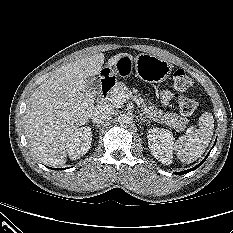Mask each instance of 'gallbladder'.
<instances>
[{"instance_id": "1", "label": "gallbladder", "mask_w": 233, "mask_h": 233, "mask_svg": "<svg viewBox=\"0 0 233 233\" xmlns=\"http://www.w3.org/2000/svg\"><path fill=\"white\" fill-rule=\"evenodd\" d=\"M85 82L88 90L92 93L94 97L100 96V81L97 77L89 76L86 78Z\"/></svg>"}]
</instances>
